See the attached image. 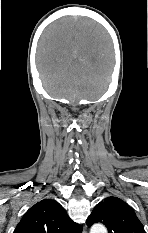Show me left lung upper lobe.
Masks as SVG:
<instances>
[{
    "mask_svg": "<svg viewBox=\"0 0 148 233\" xmlns=\"http://www.w3.org/2000/svg\"><path fill=\"white\" fill-rule=\"evenodd\" d=\"M94 223L105 224L108 233H145L134 210L117 197H108L96 205L86 220L88 227Z\"/></svg>",
    "mask_w": 148,
    "mask_h": 233,
    "instance_id": "5c2ea615",
    "label": "left lung upper lobe"
}]
</instances>
